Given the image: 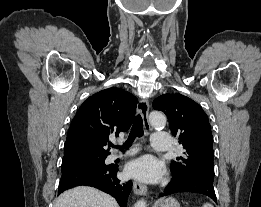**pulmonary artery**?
<instances>
[{"instance_id": "1", "label": "pulmonary artery", "mask_w": 261, "mask_h": 207, "mask_svg": "<svg viewBox=\"0 0 261 207\" xmlns=\"http://www.w3.org/2000/svg\"><path fill=\"white\" fill-rule=\"evenodd\" d=\"M151 146L158 151H166L169 149V135L165 132H155L152 135ZM118 155H111L110 160L117 159Z\"/></svg>"}]
</instances>
